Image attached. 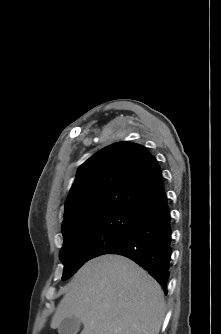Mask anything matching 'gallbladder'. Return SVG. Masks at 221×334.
I'll list each match as a JSON object with an SVG mask.
<instances>
[{"mask_svg": "<svg viewBox=\"0 0 221 334\" xmlns=\"http://www.w3.org/2000/svg\"><path fill=\"white\" fill-rule=\"evenodd\" d=\"M81 321L72 316L65 318L58 327L59 334H77L80 330Z\"/></svg>", "mask_w": 221, "mask_h": 334, "instance_id": "gallbladder-1", "label": "gallbladder"}]
</instances>
